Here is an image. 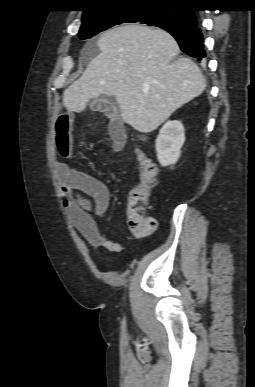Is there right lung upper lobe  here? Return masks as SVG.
I'll return each instance as SVG.
<instances>
[{
    "instance_id": "cb5924a9",
    "label": "right lung upper lobe",
    "mask_w": 255,
    "mask_h": 387,
    "mask_svg": "<svg viewBox=\"0 0 255 387\" xmlns=\"http://www.w3.org/2000/svg\"><path fill=\"white\" fill-rule=\"evenodd\" d=\"M191 3L192 0H87V8L83 12V18L104 10L118 7L169 5L182 8ZM186 20L188 23L189 20Z\"/></svg>"
}]
</instances>
